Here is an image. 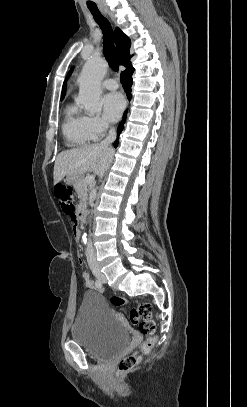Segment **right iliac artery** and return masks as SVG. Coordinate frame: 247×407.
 Here are the masks:
<instances>
[{
  "mask_svg": "<svg viewBox=\"0 0 247 407\" xmlns=\"http://www.w3.org/2000/svg\"><path fill=\"white\" fill-rule=\"evenodd\" d=\"M95 286H96V288H98V289H101L102 288V282L100 281V280H95Z\"/></svg>",
  "mask_w": 247,
  "mask_h": 407,
  "instance_id": "obj_1",
  "label": "right iliac artery"
}]
</instances>
